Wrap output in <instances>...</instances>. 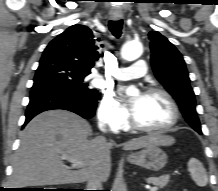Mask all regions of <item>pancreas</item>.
Listing matches in <instances>:
<instances>
[{
	"instance_id": "cf45deb5",
	"label": "pancreas",
	"mask_w": 218,
	"mask_h": 191,
	"mask_svg": "<svg viewBox=\"0 0 218 191\" xmlns=\"http://www.w3.org/2000/svg\"><path fill=\"white\" fill-rule=\"evenodd\" d=\"M147 182L162 188L166 186L167 183L169 182V176L165 175L161 177H150L147 179Z\"/></svg>"
}]
</instances>
